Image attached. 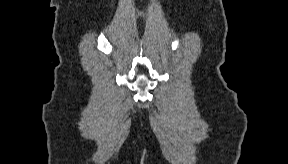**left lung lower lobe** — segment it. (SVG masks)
<instances>
[{
    "label": "left lung lower lobe",
    "instance_id": "0a47b994",
    "mask_svg": "<svg viewBox=\"0 0 288 164\" xmlns=\"http://www.w3.org/2000/svg\"><path fill=\"white\" fill-rule=\"evenodd\" d=\"M250 84L256 87L262 86L264 82L263 73L259 69H252L248 72Z\"/></svg>",
    "mask_w": 288,
    "mask_h": 164
}]
</instances>
